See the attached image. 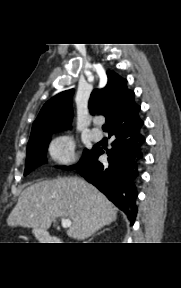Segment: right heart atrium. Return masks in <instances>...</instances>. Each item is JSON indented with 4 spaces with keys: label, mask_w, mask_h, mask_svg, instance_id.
<instances>
[{
    "label": "right heart atrium",
    "mask_w": 181,
    "mask_h": 288,
    "mask_svg": "<svg viewBox=\"0 0 181 288\" xmlns=\"http://www.w3.org/2000/svg\"><path fill=\"white\" fill-rule=\"evenodd\" d=\"M75 141L69 134H62L53 138L48 146V154L52 162L69 165L76 159Z\"/></svg>",
    "instance_id": "right-heart-atrium-1"
}]
</instances>
